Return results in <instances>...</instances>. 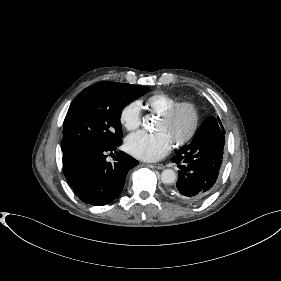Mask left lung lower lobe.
<instances>
[{
  "mask_svg": "<svg viewBox=\"0 0 281 281\" xmlns=\"http://www.w3.org/2000/svg\"><path fill=\"white\" fill-rule=\"evenodd\" d=\"M224 129L219 118L203 121L188 146L172 157L178 164V180L173 193L186 203H198L215 189L223 160Z\"/></svg>",
  "mask_w": 281,
  "mask_h": 281,
  "instance_id": "0a47b994",
  "label": "left lung lower lobe"
}]
</instances>
